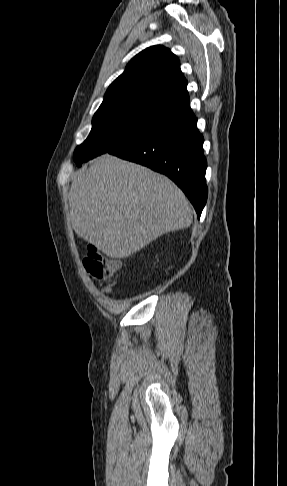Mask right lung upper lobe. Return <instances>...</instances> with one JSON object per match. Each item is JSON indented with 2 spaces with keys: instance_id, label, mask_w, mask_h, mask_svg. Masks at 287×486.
<instances>
[{
  "instance_id": "cb5924a9",
  "label": "right lung upper lobe",
  "mask_w": 287,
  "mask_h": 486,
  "mask_svg": "<svg viewBox=\"0 0 287 486\" xmlns=\"http://www.w3.org/2000/svg\"><path fill=\"white\" fill-rule=\"evenodd\" d=\"M186 87L178 58L163 46H151L132 58L107 89L101 106L148 104L172 112L189 104Z\"/></svg>"
}]
</instances>
